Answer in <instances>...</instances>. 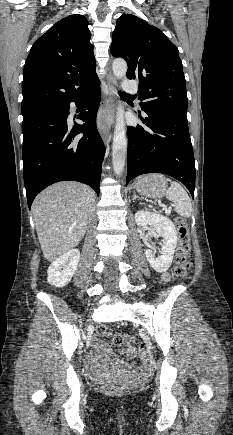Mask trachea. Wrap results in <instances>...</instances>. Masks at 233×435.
<instances>
[{"mask_svg":"<svg viewBox=\"0 0 233 435\" xmlns=\"http://www.w3.org/2000/svg\"><path fill=\"white\" fill-rule=\"evenodd\" d=\"M121 94H125L124 92H120Z\"/></svg>","mask_w":233,"mask_h":435,"instance_id":"trachea-1","label":"trachea"}]
</instances>
